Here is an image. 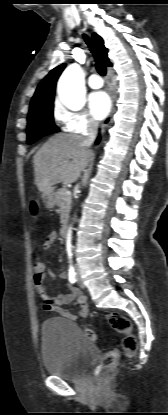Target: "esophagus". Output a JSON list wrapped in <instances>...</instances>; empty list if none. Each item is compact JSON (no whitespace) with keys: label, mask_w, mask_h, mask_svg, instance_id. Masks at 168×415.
<instances>
[{"label":"esophagus","mask_w":168,"mask_h":415,"mask_svg":"<svg viewBox=\"0 0 168 415\" xmlns=\"http://www.w3.org/2000/svg\"><path fill=\"white\" fill-rule=\"evenodd\" d=\"M111 100H112V109H111V112H110L109 116L105 119V121L102 124V133L105 131V129L108 127V125L110 124V122L112 120V116H113V113H114V101H115L114 91H112V93H111Z\"/></svg>","instance_id":"obj_1"}]
</instances>
